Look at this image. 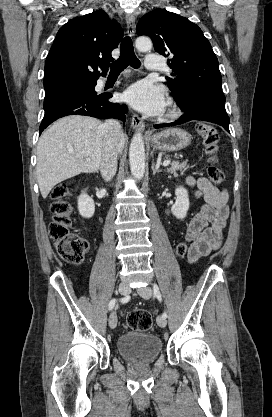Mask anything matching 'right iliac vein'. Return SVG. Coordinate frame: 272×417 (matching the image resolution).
Wrapping results in <instances>:
<instances>
[{"label":"right iliac vein","mask_w":272,"mask_h":417,"mask_svg":"<svg viewBox=\"0 0 272 417\" xmlns=\"http://www.w3.org/2000/svg\"><path fill=\"white\" fill-rule=\"evenodd\" d=\"M118 290L122 295H128L130 293V287L125 282L119 284ZM109 326L112 329L117 326V315L115 311H112L109 316Z\"/></svg>","instance_id":"1"}]
</instances>
